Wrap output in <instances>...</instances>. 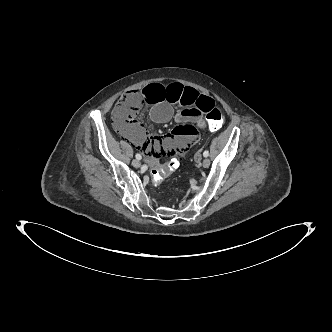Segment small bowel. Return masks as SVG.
<instances>
[{"label":"small bowel","mask_w":332,"mask_h":332,"mask_svg":"<svg viewBox=\"0 0 332 332\" xmlns=\"http://www.w3.org/2000/svg\"><path fill=\"white\" fill-rule=\"evenodd\" d=\"M142 106L150 113L156 123H165L174 119L177 124L172 132L161 136L148 135L142 125L133 123L129 127L116 129L119 134L140 148L149 165L154 166L176 157L179 161L186 150L195 148L201 139L199 129L213 130L204 120V113L214 105V100L196 89L172 82L166 86L158 81L147 83L141 94ZM182 108L174 112V106ZM200 159L199 154L195 156Z\"/></svg>","instance_id":"c3829d8e"}]
</instances>
